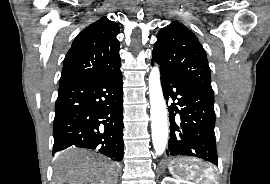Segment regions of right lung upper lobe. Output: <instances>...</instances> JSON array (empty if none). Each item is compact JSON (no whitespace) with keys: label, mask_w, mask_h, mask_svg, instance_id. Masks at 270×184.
I'll return each instance as SVG.
<instances>
[{"label":"right lung upper lobe","mask_w":270,"mask_h":184,"mask_svg":"<svg viewBox=\"0 0 270 184\" xmlns=\"http://www.w3.org/2000/svg\"><path fill=\"white\" fill-rule=\"evenodd\" d=\"M119 29L117 23L102 17L81 31L64 59L59 86L118 70Z\"/></svg>","instance_id":"obj_1"}]
</instances>
